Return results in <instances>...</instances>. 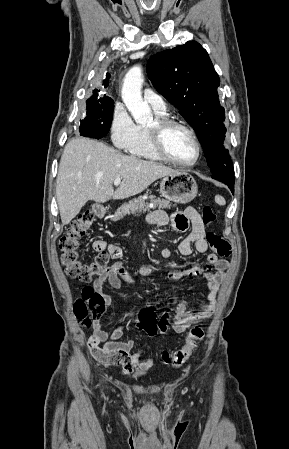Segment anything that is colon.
I'll return each instance as SVG.
<instances>
[{
  "mask_svg": "<svg viewBox=\"0 0 289 449\" xmlns=\"http://www.w3.org/2000/svg\"><path fill=\"white\" fill-rule=\"evenodd\" d=\"M202 220L205 225H210L216 220L213 209L205 205L202 207ZM94 213L90 210L80 214L69 227L67 233L60 239L59 248L61 251V262L66 274L74 279L83 282L90 281L94 276H98L109 266L110 256L102 251L90 261H83L79 254V240L86 233L94 221ZM206 240L213 253L211 256L219 258L228 257L231 254V246L227 240L215 232H209ZM105 309L103 297L96 293L91 287H85L82 295L74 304V313L77 319L84 325L90 326L93 320L99 318ZM138 328L149 336L157 334L165 335L169 331L167 315L159 319L152 309H145L138 318ZM204 337V330L200 326H193L189 329L184 345L173 353L163 351L165 362L174 367L181 366L192 354L198 341Z\"/></svg>",
  "mask_w": 289,
  "mask_h": 449,
  "instance_id": "colon-1",
  "label": "colon"
}]
</instances>
